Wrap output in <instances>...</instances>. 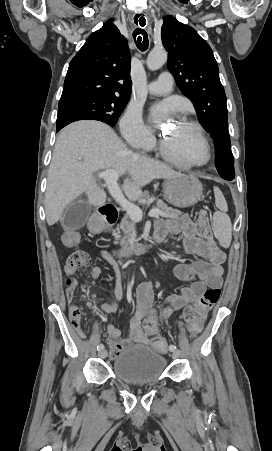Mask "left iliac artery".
Instances as JSON below:
<instances>
[{"mask_svg":"<svg viewBox=\"0 0 272 451\" xmlns=\"http://www.w3.org/2000/svg\"><path fill=\"white\" fill-rule=\"evenodd\" d=\"M169 350L172 351V352L175 351L176 350V346L175 345H170L169 346Z\"/></svg>","mask_w":272,"mask_h":451,"instance_id":"1","label":"left iliac artery"}]
</instances>
